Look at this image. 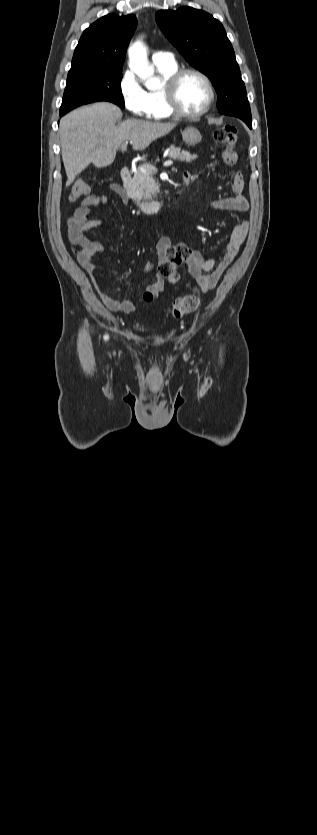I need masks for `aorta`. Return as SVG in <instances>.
I'll list each match as a JSON object with an SVG mask.
<instances>
[{
	"label": "aorta",
	"instance_id": "obj_1",
	"mask_svg": "<svg viewBox=\"0 0 317 835\" xmlns=\"http://www.w3.org/2000/svg\"><path fill=\"white\" fill-rule=\"evenodd\" d=\"M129 67L148 89H157L160 86V78L154 75V68L148 61L147 49L141 40L129 47Z\"/></svg>",
	"mask_w": 317,
	"mask_h": 835
}]
</instances>
